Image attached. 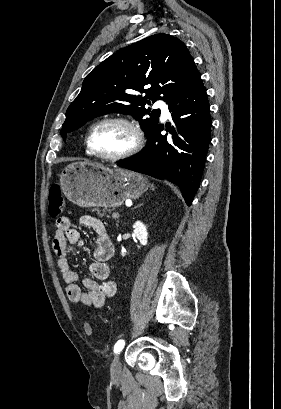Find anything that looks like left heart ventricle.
Returning a JSON list of instances; mask_svg holds the SVG:
<instances>
[{"mask_svg": "<svg viewBox=\"0 0 281 409\" xmlns=\"http://www.w3.org/2000/svg\"><path fill=\"white\" fill-rule=\"evenodd\" d=\"M133 142L132 132L120 124L102 126L94 138L95 149L103 155H116L126 150Z\"/></svg>", "mask_w": 281, "mask_h": 409, "instance_id": "1", "label": "left heart ventricle"}]
</instances>
